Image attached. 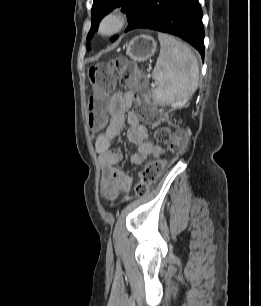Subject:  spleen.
<instances>
[{
  "label": "spleen",
  "instance_id": "1",
  "mask_svg": "<svg viewBox=\"0 0 261 306\" xmlns=\"http://www.w3.org/2000/svg\"><path fill=\"white\" fill-rule=\"evenodd\" d=\"M160 54L152 77L157 82L153 98L160 105L186 103L195 92L198 61L191 49L175 38L159 33Z\"/></svg>",
  "mask_w": 261,
  "mask_h": 306
}]
</instances>
